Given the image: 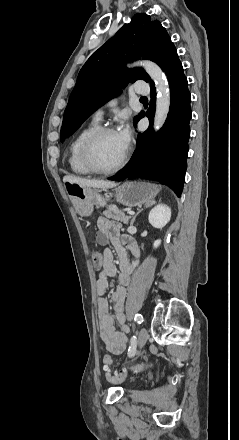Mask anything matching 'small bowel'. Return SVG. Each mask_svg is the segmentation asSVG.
<instances>
[{
    "label": "small bowel",
    "instance_id": "small-bowel-1",
    "mask_svg": "<svg viewBox=\"0 0 239 440\" xmlns=\"http://www.w3.org/2000/svg\"><path fill=\"white\" fill-rule=\"evenodd\" d=\"M97 242L101 245L111 243L118 254L117 269L113 260L111 249L106 248L103 252V268L99 272L96 280L98 292L97 314L99 334L106 350L113 355H119L127 347L128 326L125 322V298L126 286L130 282V276L138 264L140 251L136 242L129 236L120 235L119 223L106 217H99L97 220ZM128 250L132 259H130ZM112 277L117 281V285L111 294V301L114 307V315L109 311V303L105 297L108 289V278ZM115 322L119 329L116 330Z\"/></svg>",
    "mask_w": 239,
    "mask_h": 440
}]
</instances>
